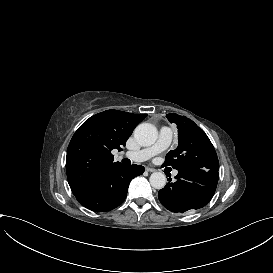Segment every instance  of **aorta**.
<instances>
[{"label": "aorta", "instance_id": "1", "mask_svg": "<svg viewBox=\"0 0 273 273\" xmlns=\"http://www.w3.org/2000/svg\"><path fill=\"white\" fill-rule=\"evenodd\" d=\"M134 137L141 146H151L157 140V129L150 123H141L135 128ZM149 181L153 188L162 189L165 187L167 179L162 172H154Z\"/></svg>", "mask_w": 273, "mask_h": 273}]
</instances>
